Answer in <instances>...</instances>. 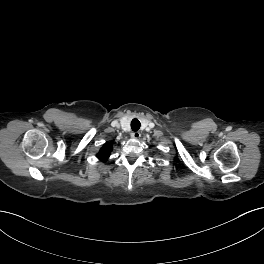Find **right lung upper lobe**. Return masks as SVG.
Listing matches in <instances>:
<instances>
[{"label": "right lung upper lobe", "instance_id": "1", "mask_svg": "<svg viewBox=\"0 0 264 264\" xmlns=\"http://www.w3.org/2000/svg\"><path fill=\"white\" fill-rule=\"evenodd\" d=\"M112 151V146L110 144H105L101 150H100V153L98 154V158L100 160H102L103 162H105L108 157L110 156V153Z\"/></svg>", "mask_w": 264, "mask_h": 264}]
</instances>
